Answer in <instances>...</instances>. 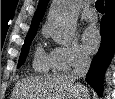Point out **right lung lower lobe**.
Masks as SVG:
<instances>
[{"label": "right lung lower lobe", "instance_id": "1", "mask_svg": "<svg viewBox=\"0 0 115 99\" xmlns=\"http://www.w3.org/2000/svg\"><path fill=\"white\" fill-rule=\"evenodd\" d=\"M101 45L94 56L86 76L87 83L102 96V81L115 49V3L105 6V15L101 20Z\"/></svg>", "mask_w": 115, "mask_h": 99}]
</instances>
